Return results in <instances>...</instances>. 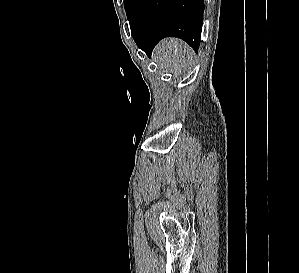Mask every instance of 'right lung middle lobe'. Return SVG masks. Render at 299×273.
Returning <instances> with one entry per match:
<instances>
[{
  "label": "right lung middle lobe",
  "mask_w": 299,
  "mask_h": 273,
  "mask_svg": "<svg viewBox=\"0 0 299 273\" xmlns=\"http://www.w3.org/2000/svg\"><path fill=\"white\" fill-rule=\"evenodd\" d=\"M134 1L135 0H124V5H125V9H126V13H127L128 18H129V15H130L132 5H133Z\"/></svg>",
  "instance_id": "right-lung-middle-lobe-1"
}]
</instances>
